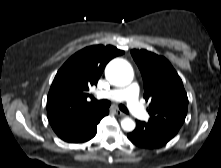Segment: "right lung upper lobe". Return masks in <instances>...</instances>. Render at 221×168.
I'll list each match as a JSON object with an SVG mask.
<instances>
[{"label":"right lung upper lobe","mask_w":221,"mask_h":168,"mask_svg":"<svg viewBox=\"0 0 221 168\" xmlns=\"http://www.w3.org/2000/svg\"><path fill=\"white\" fill-rule=\"evenodd\" d=\"M123 53L111 45H93L78 51L64 63L47 97V116L51 126L93 115L102 109L87 101L89 89L97 85L106 64Z\"/></svg>","instance_id":"1"}]
</instances>
